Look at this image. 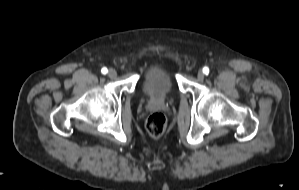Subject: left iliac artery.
<instances>
[{
  "mask_svg": "<svg viewBox=\"0 0 299 190\" xmlns=\"http://www.w3.org/2000/svg\"><path fill=\"white\" fill-rule=\"evenodd\" d=\"M203 73L207 75L209 73V68L208 67H204L203 68Z\"/></svg>",
  "mask_w": 299,
  "mask_h": 190,
  "instance_id": "left-iliac-artery-1",
  "label": "left iliac artery"
}]
</instances>
